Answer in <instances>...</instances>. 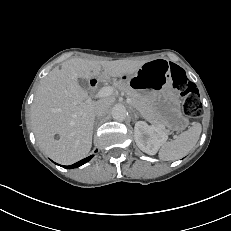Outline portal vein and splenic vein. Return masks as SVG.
<instances>
[{"mask_svg": "<svg viewBox=\"0 0 231 231\" xmlns=\"http://www.w3.org/2000/svg\"><path fill=\"white\" fill-rule=\"evenodd\" d=\"M113 92H114L113 87H111V86H106V87L101 88V89L98 91V93L95 95V97H97V98L107 97V96L112 95ZM90 100H91V99H90ZM127 102H128V103H131V99H130V98H127Z\"/></svg>", "mask_w": 231, "mask_h": 231, "instance_id": "18ae733b", "label": "portal vein and splenic vein"}]
</instances>
